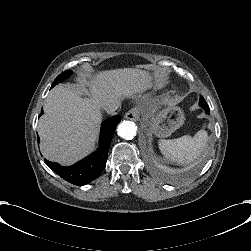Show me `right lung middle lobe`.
Listing matches in <instances>:
<instances>
[{
    "instance_id": "right-lung-middle-lobe-1",
    "label": "right lung middle lobe",
    "mask_w": 251,
    "mask_h": 251,
    "mask_svg": "<svg viewBox=\"0 0 251 251\" xmlns=\"http://www.w3.org/2000/svg\"><path fill=\"white\" fill-rule=\"evenodd\" d=\"M70 74H72L71 70H67L64 71L63 73H61L53 82L52 87H54L55 85L59 84L60 82H63L66 78H68L70 76ZM51 87V88H52Z\"/></svg>"
}]
</instances>
